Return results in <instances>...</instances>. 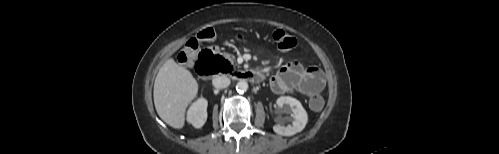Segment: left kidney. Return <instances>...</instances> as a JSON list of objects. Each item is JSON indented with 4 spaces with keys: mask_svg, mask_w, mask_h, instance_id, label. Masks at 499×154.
<instances>
[{
    "mask_svg": "<svg viewBox=\"0 0 499 154\" xmlns=\"http://www.w3.org/2000/svg\"><path fill=\"white\" fill-rule=\"evenodd\" d=\"M276 104L280 109L284 106H289L292 112L291 117L294 120L292 125H274L273 130L275 133L283 136H292L298 132H301L305 128L308 122V115L300 101L290 96H281L277 99Z\"/></svg>",
    "mask_w": 499,
    "mask_h": 154,
    "instance_id": "left-kidney-1",
    "label": "left kidney"
}]
</instances>
